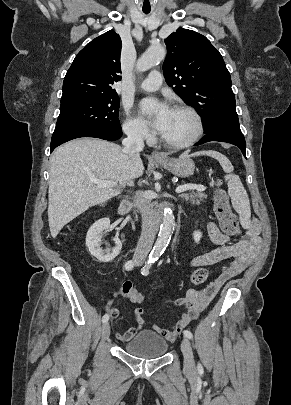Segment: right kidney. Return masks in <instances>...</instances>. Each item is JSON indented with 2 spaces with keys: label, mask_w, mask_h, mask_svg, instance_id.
Listing matches in <instances>:
<instances>
[{
  "label": "right kidney",
  "mask_w": 291,
  "mask_h": 405,
  "mask_svg": "<svg viewBox=\"0 0 291 405\" xmlns=\"http://www.w3.org/2000/svg\"><path fill=\"white\" fill-rule=\"evenodd\" d=\"M110 227V220L102 218L96 221L88 230L86 235V246L90 254L100 262H111L121 251L122 243L118 237L114 238L115 246L113 249L103 250L101 248V238L104 231Z\"/></svg>",
  "instance_id": "1"
}]
</instances>
